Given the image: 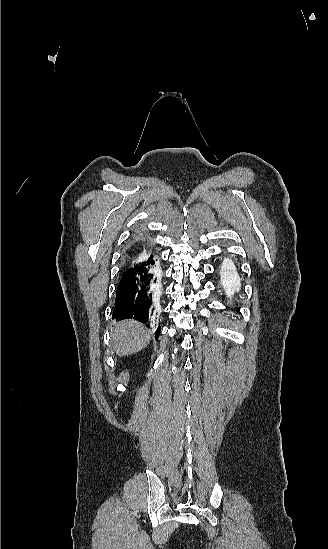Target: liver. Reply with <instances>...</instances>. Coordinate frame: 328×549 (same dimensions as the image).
<instances>
[{
  "instance_id": "liver-1",
  "label": "liver",
  "mask_w": 328,
  "mask_h": 549,
  "mask_svg": "<svg viewBox=\"0 0 328 549\" xmlns=\"http://www.w3.org/2000/svg\"><path fill=\"white\" fill-rule=\"evenodd\" d=\"M112 345L118 357L133 355L145 349L150 343L149 331L137 321H121L111 331Z\"/></svg>"
}]
</instances>
